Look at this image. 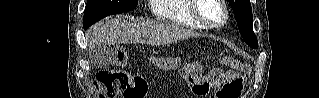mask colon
<instances>
[{"label":"colon","instance_id":"1","mask_svg":"<svg viewBox=\"0 0 319 98\" xmlns=\"http://www.w3.org/2000/svg\"><path fill=\"white\" fill-rule=\"evenodd\" d=\"M127 57L125 49H117L115 61L118 65L125 64ZM222 62L231 66L240 65L229 58H223ZM153 63L159 68L166 69L178 66V62L170 58H155ZM242 67L244 71L247 70L246 66ZM208 77L210 84L223 82L212 98H237L242 91L244 77L239 73L233 72L225 78L218 72H212ZM93 87L99 98H144L147 90L145 81L141 77L120 70L99 71L93 81Z\"/></svg>","mask_w":319,"mask_h":98}]
</instances>
